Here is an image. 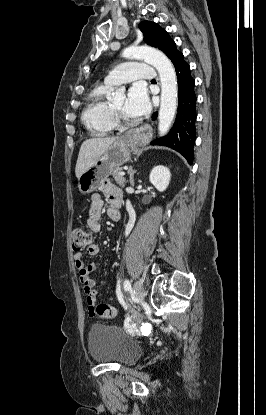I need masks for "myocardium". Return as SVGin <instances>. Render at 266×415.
I'll list each match as a JSON object with an SVG mask.
<instances>
[{"label": "myocardium", "mask_w": 266, "mask_h": 415, "mask_svg": "<svg viewBox=\"0 0 266 415\" xmlns=\"http://www.w3.org/2000/svg\"><path fill=\"white\" fill-rule=\"evenodd\" d=\"M111 108H112V111H113V114H114L115 119L119 123H121L123 125H130V124H132L131 120H129L120 110H118L117 108H115L113 106V104L111 105Z\"/></svg>", "instance_id": "1"}]
</instances>
